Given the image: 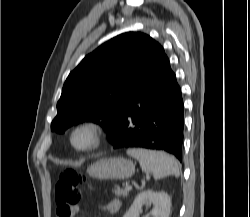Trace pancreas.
I'll list each match as a JSON object with an SVG mask.
<instances>
[{
  "mask_svg": "<svg viewBox=\"0 0 250 217\" xmlns=\"http://www.w3.org/2000/svg\"><path fill=\"white\" fill-rule=\"evenodd\" d=\"M113 193H114L116 196H118V197H121V196L127 197L128 194H129V192H128L127 190H123V189H121L120 187H115V188L113 189Z\"/></svg>",
  "mask_w": 250,
  "mask_h": 217,
  "instance_id": "1",
  "label": "pancreas"
}]
</instances>
